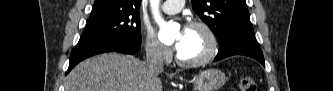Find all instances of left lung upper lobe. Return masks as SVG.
Segmentation results:
<instances>
[{"mask_svg":"<svg viewBox=\"0 0 333 91\" xmlns=\"http://www.w3.org/2000/svg\"><path fill=\"white\" fill-rule=\"evenodd\" d=\"M192 8L219 42L233 32L253 29L245 0H192Z\"/></svg>","mask_w":333,"mask_h":91,"instance_id":"5c2ea615","label":"left lung upper lobe"}]
</instances>
